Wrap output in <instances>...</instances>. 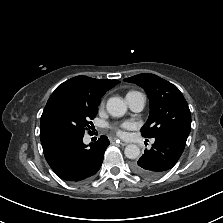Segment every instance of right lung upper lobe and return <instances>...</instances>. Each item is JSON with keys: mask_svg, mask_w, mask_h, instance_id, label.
<instances>
[{"mask_svg": "<svg viewBox=\"0 0 223 223\" xmlns=\"http://www.w3.org/2000/svg\"><path fill=\"white\" fill-rule=\"evenodd\" d=\"M118 83V80H97L87 76H76L65 81L55 89L46 107L54 100L65 96H74L100 103L101 97L105 92ZM40 137L43 139L46 136L40 134Z\"/></svg>", "mask_w": 223, "mask_h": 223, "instance_id": "cb5924a9", "label": "right lung upper lobe"}]
</instances>
